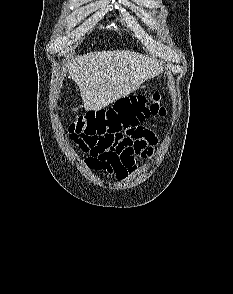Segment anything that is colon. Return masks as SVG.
Segmentation results:
<instances>
[{
	"instance_id": "5ec220e1",
	"label": "colon",
	"mask_w": 233,
	"mask_h": 294,
	"mask_svg": "<svg viewBox=\"0 0 233 294\" xmlns=\"http://www.w3.org/2000/svg\"><path fill=\"white\" fill-rule=\"evenodd\" d=\"M158 114H164L158 93L132 96L119 100L110 109L80 115L71 123L69 132L74 142L93 156L107 149H123L135 138L125 137V132H137L133 131V126H139L150 116Z\"/></svg>"
}]
</instances>
